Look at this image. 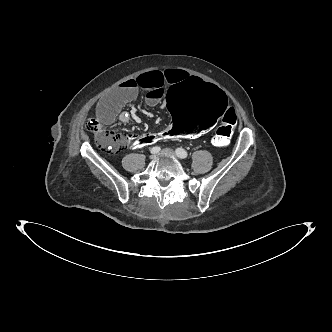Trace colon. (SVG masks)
<instances>
[{
    "label": "colon",
    "mask_w": 332,
    "mask_h": 332,
    "mask_svg": "<svg viewBox=\"0 0 332 332\" xmlns=\"http://www.w3.org/2000/svg\"><path fill=\"white\" fill-rule=\"evenodd\" d=\"M163 110L171 125L169 129L157 133L126 132L122 141L97 119H90L86 126L100 148L117 153L123 146L136 149L155 146L165 138L185 140L188 136L204 134L220 123L212 142L216 147H224L230 142L237 122L227 91L217 83L200 78H191L172 87L165 95Z\"/></svg>",
    "instance_id": "5ec220e1"
}]
</instances>
